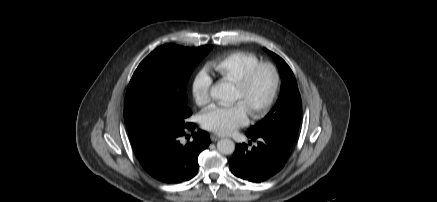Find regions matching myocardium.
Returning <instances> with one entry per match:
<instances>
[{
    "instance_id": "myocardium-1",
    "label": "myocardium",
    "mask_w": 437,
    "mask_h": 202,
    "mask_svg": "<svg viewBox=\"0 0 437 202\" xmlns=\"http://www.w3.org/2000/svg\"><path fill=\"white\" fill-rule=\"evenodd\" d=\"M261 69H268L270 70L272 77H273V84L271 88V92L268 96V98L257 108H255L253 111L250 112V116L253 119H259L263 117L271 108L273 105L280 86V74L277 69V67L270 63V62H259L249 68L245 74L235 82V85L240 88L241 90H246L251 85L255 75L261 70Z\"/></svg>"
}]
</instances>
